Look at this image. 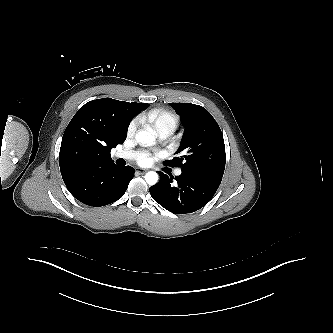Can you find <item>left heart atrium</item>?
Here are the masks:
<instances>
[{
  "label": "left heart atrium",
  "instance_id": "39dd6f15",
  "mask_svg": "<svg viewBox=\"0 0 333 333\" xmlns=\"http://www.w3.org/2000/svg\"><path fill=\"white\" fill-rule=\"evenodd\" d=\"M154 157L148 152H139L137 162L141 165H148L153 161Z\"/></svg>",
  "mask_w": 333,
  "mask_h": 333
}]
</instances>
